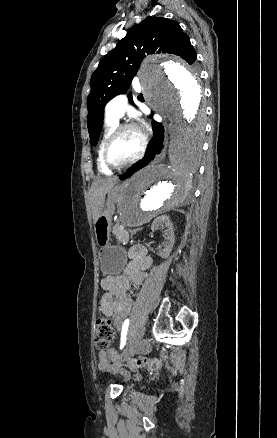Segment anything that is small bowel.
I'll use <instances>...</instances> for the list:
<instances>
[{"label": "small bowel", "instance_id": "obj_1", "mask_svg": "<svg viewBox=\"0 0 277 438\" xmlns=\"http://www.w3.org/2000/svg\"><path fill=\"white\" fill-rule=\"evenodd\" d=\"M128 256L130 260L123 274L106 275L100 282L105 292L100 299L99 309L104 315L113 319L118 330L122 328L125 318L133 307L129 292L146 279V271L152 265V258L147 254L146 248L141 245L132 246ZM112 351L116 350L110 349L99 353L98 368L128 378L129 374L126 370L111 365Z\"/></svg>", "mask_w": 277, "mask_h": 438}]
</instances>
